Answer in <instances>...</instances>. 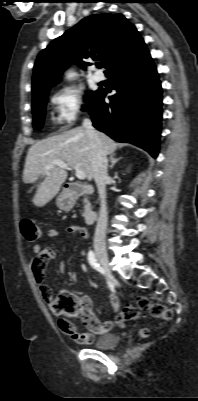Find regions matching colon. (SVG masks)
Segmentation results:
<instances>
[{
  "label": "colon",
  "instance_id": "5ec220e1",
  "mask_svg": "<svg viewBox=\"0 0 198 401\" xmlns=\"http://www.w3.org/2000/svg\"><path fill=\"white\" fill-rule=\"evenodd\" d=\"M20 230L23 237L28 241H36L40 238L41 232L32 218L25 217L20 221ZM52 297V296H51ZM51 300V298L49 299ZM51 310L56 316H75L82 314L80 301L69 291H61L51 303ZM140 311L149 312L153 317L170 319L171 310L162 303L152 302L145 296L137 297V307L127 306L116 316V322L122 324L126 321L136 319ZM147 331L142 332L147 337Z\"/></svg>",
  "mask_w": 198,
  "mask_h": 401
}]
</instances>
